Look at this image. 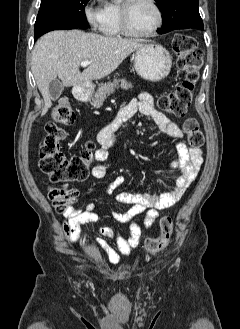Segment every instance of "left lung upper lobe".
Segmentation results:
<instances>
[{
  "label": "left lung upper lobe",
  "mask_w": 240,
  "mask_h": 329,
  "mask_svg": "<svg viewBox=\"0 0 240 329\" xmlns=\"http://www.w3.org/2000/svg\"><path fill=\"white\" fill-rule=\"evenodd\" d=\"M162 12L163 26L158 33L175 29L196 28L203 30L199 14V0H155Z\"/></svg>",
  "instance_id": "left-lung-upper-lobe-1"
}]
</instances>
